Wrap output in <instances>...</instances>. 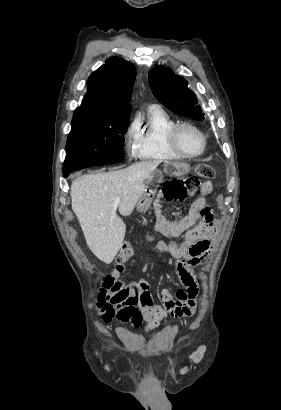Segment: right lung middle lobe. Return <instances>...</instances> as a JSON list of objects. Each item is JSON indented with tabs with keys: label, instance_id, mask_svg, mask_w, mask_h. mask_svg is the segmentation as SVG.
I'll return each instance as SVG.
<instances>
[{
	"label": "right lung middle lobe",
	"instance_id": "dd1d6c3e",
	"mask_svg": "<svg viewBox=\"0 0 281 410\" xmlns=\"http://www.w3.org/2000/svg\"><path fill=\"white\" fill-rule=\"evenodd\" d=\"M129 115L76 109L66 144L64 172L115 163L124 158V136Z\"/></svg>",
	"mask_w": 281,
	"mask_h": 410
}]
</instances>
